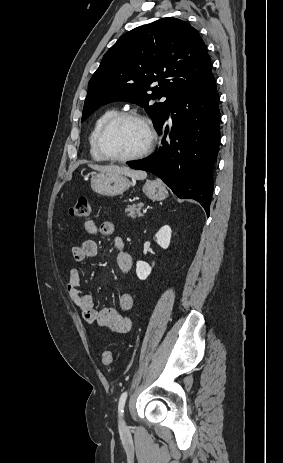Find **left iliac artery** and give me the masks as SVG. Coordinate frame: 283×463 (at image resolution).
I'll return each mask as SVG.
<instances>
[{"instance_id": "44dca946", "label": "left iliac artery", "mask_w": 283, "mask_h": 463, "mask_svg": "<svg viewBox=\"0 0 283 463\" xmlns=\"http://www.w3.org/2000/svg\"><path fill=\"white\" fill-rule=\"evenodd\" d=\"M127 394H128L127 391L123 392L120 399H119L118 412H119L120 415L124 412L123 409H124L125 402H126V399H127Z\"/></svg>"}]
</instances>
